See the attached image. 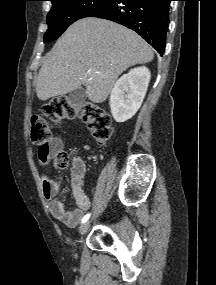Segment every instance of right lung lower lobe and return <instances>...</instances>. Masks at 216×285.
I'll list each match as a JSON object with an SVG mask.
<instances>
[{
	"label": "right lung lower lobe",
	"instance_id": "1",
	"mask_svg": "<svg viewBox=\"0 0 216 285\" xmlns=\"http://www.w3.org/2000/svg\"><path fill=\"white\" fill-rule=\"evenodd\" d=\"M171 0H111L87 17H99L134 29L162 56Z\"/></svg>",
	"mask_w": 216,
	"mask_h": 285
}]
</instances>
